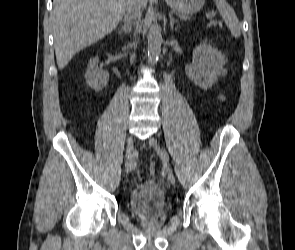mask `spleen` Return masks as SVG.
I'll return each instance as SVG.
<instances>
[{
    "label": "spleen",
    "instance_id": "3e777b00",
    "mask_svg": "<svg viewBox=\"0 0 295 250\" xmlns=\"http://www.w3.org/2000/svg\"><path fill=\"white\" fill-rule=\"evenodd\" d=\"M222 19L230 29L232 36L238 38L241 34L240 23L235 14L234 9L226 2V0H214Z\"/></svg>",
    "mask_w": 295,
    "mask_h": 250
}]
</instances>
